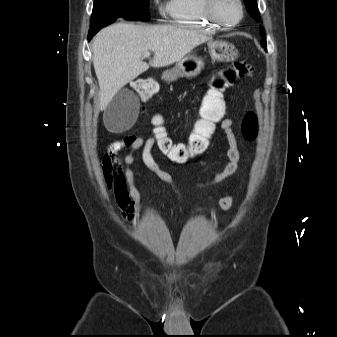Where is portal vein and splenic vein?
<instances>
[{
	"label": "portal vein and splenic vein",
	"mask_w": 337,
	"mask_h": 337,
	"mask_svg": "<svg viewBox=\"0 0 337 337\" xmlns=\"http://www.w3.org/2000/svg\"><path fill=\"white\" fill-rule=\"evenodd\" d=\"M150 56V52H145L143 57H149Z\"/></svg>",
	"instance_id": "portal-vein-and-splenic-vein-1"
}]
</instances>
